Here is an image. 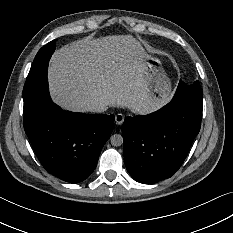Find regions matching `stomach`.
I'll list each match as a JSON object with an SVG mask.
<instances>
[{
    "label": "stomach",
    "instance_id": "obj_1",
    "mask_svg": "<svg viewBox=\"0 0 233 233\" xmlns=\"http://www.w3.org/2000/svg\"><path fill=\"white\" fill-rule=\"evenodd\" d=\"M135 57L142 61L141 67L147 96L153 106L158 108L167 104L171 98L172 85L161 59L148 50L141 42Z\"/></svg>",
    "mask_w": 233,
    "mask_h": 233
}]
</instances>
